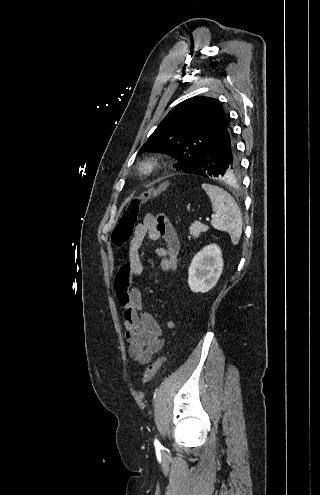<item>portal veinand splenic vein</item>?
<instances>
[{
	"instance_id": "1",
	"label": "portal vein and splenic vein",
	"mask_w": 320,
	"mask_h": 495,
	"mask_svg": "<svg viewBox=\"0 0 320 495\" xmlns=\"http://www.w3.org/2000/svg\"><path fill=\"white\" fill-rule=\"evenodd\" d=\"M215 217V215H212L211 218L213 219ZM206 220H210V218H206Z\"/></svg>"
}]
</instances>
